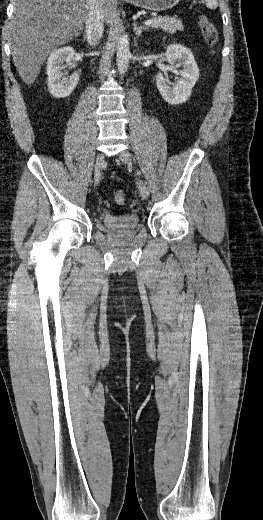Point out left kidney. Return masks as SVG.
<instances>
[{
	"mask_svg": "<svg viewBox=\"0 0 263 520\" xmlns=\"http://www.w3.org/2000/svg\"><path fill=\"white\" fill-rule=\"evenodd\" d=\"M165 56L173 68L182 67V70L178 71L180 77L176 85L173 86H171L168 78L164 77L162 73H158L156 76L157 88L167 103L171 105L182 104L190 97L192 88L199 78L197 63L191 51L178 44L168 46ZM162 71L164 74L167 73L166 69Z\"/></svg>",
	"mask_w": 263,
	"mask_h": 520,
	"instance_id": "left-kidney-1",
	"label": "left kidney"
}]
</instances>
